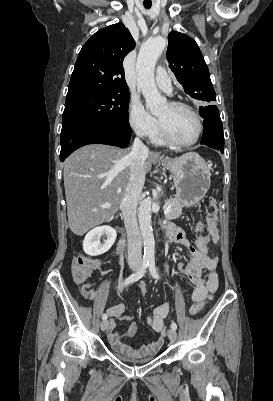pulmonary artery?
I'll use <instances>...</instances> for the list:
<instances>
[{"label":"pulmonary artery","mask_w":273,"mask_h":401,"mask_svg":"<svg viewBox=\"0 0 273 401\" xmlns=\"http://www.w3.org/2000/svg\"><path fill=\"white\" fill-rule=\"evenodd\" d=\"M158 74V81L156 83V86L158 89H163L166 91L169 95H172V89H173V83L170 80L169 77V71L167 68H159L157 71Z\"/></svg>","instance_id":"1"}]
</instances>
